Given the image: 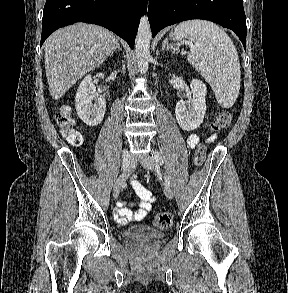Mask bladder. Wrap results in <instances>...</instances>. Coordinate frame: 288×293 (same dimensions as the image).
Segmentation results:
<instances>
[{"label": "bladder", "mask_w": 288, "mask_h": 293, "mask_svg": "<svg viewBox=\"0 0 288 293\" xmlns=\"http://www.w3.org/2000/svg\"><path fill=\"white\" fill-rule=\"evenodd\" d=\"M125 235L128 237L162 238L165 233L147 226H133L125 231Z\"/></svg>", "instance_id": "obj_1"}]
</instances>
